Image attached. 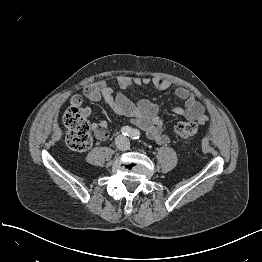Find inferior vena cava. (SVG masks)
Segmentation results:
<instances>
[{
    "label": "inferior vena cava",
    "instance_id": "obj_1",
    "mask_svg": "<svg viewBox=\"0 0 262 262\" xmlns=\"http://www.w3.org/2000/svg\"><path fill=\"white\" fill-rule=\"evenodd\" d=\"M115 143L117 148L122 151L128 150L130 147L129 139L122 135L117 136Z\"/></svg>",
    "mask_w": 262,
    "mask_h": 262
}]
</instances>
